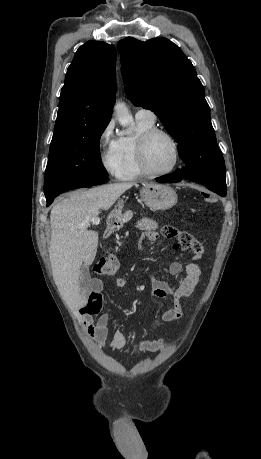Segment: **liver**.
I'll list each match as a JSON object with an SVG mask.
<instances>
[{
  "instance_id": "6515ba94",
  "label": "liver",
  "mask_w": 261,
  "mask_h": 459,
  "mask_svg": "<svg viewBox=\"0 0 261 459\" xmlns=\"http://www.w3.org/2000/svg\"><path fill=\"white\" fill-rule=\"evenodd\" d=\"M132 186L121 182L70 192L51 210L49 257L53 277L76 316L87 302L86 291L80 286L81 267L88 268L93 263L98 247V233L88 231L90 219L100 210L109 209ZM131 216L129 211L121 219L126 221Z\"/></svg>"
}]
</instances>
